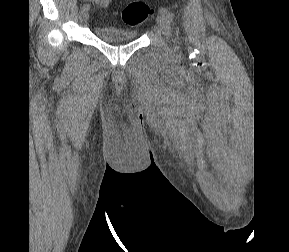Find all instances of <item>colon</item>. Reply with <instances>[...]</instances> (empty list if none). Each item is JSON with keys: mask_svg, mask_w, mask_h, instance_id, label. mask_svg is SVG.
<instances>
[{"mask_svg": "<svg viewBox=\"0 0 289 252\" xmlns=\"http://www.w3.org/2000/svg\"><path fill=\"white\" fill-rule=\"evenodd\" d=\"M152 13L148 4L135 1L127 4L122 11V20L130 26H139L143 24Z\"/></svg>", "mask_w": 289, "mask_h": 252, "instance_id": "5ec220e1", "label": "colon"}]
</instances>
